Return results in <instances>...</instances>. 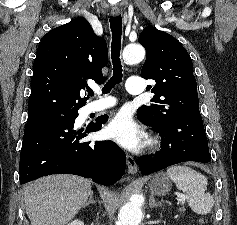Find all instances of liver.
Segmentation results:
<instances>
[{"label": "liver", "mask_w": 237, "mask_h": 225, "mask_svg": "<svg viewBox=\"0 0 237 225\" xmlns=\"http://www.w3.org/2000/svg\"><path fill=\"white\" fill-rule=\"evenodd\" d=\"M91 192V181L68 174L28 183L24 201L31 225H65L85 205Z\"/></svg>", "instance_id": "6515ba94"}]
</instances>
